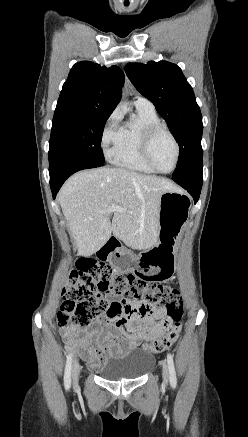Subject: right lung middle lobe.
<instances>
[{
	"mask_svg": "<svg viewBox=\"0 0 248 437\" xmlns=\"http://www.w3.org/2000/svg\"><path fill=\"white\" fill-rule=\"evenodd\" d=\"M109 116L56 107L49 142V162L66 156H78L104 163L101 138Z\"/></svg>",
	"mask_w": 248,
	"mask_h": 437,
	"instance_id": "right-lung-middle-lobe-1",
	"label": "right lung middle lobe"
}]
</instances>
